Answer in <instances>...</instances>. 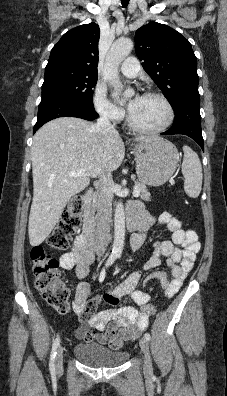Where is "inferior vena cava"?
Here are the masks:
<instances>
[{"label":"inferior vena cava","mask_w":227,"mask_h":396,"mask_svg":"<svg viewBox=\"0 0 227 396\" xmlns=\"http://www.w3.org/2000/svg\"><path fill=\"white\" fill-rule=\"evenodd\" d=\"M95 129L105 135L109 132H117L111 124L109 118L102 114L95 124ZM113 179L111 173L104 174L100 179V188L97 197V226L95 233V250L97 254L104 253L108 246L110 234V224L112 217V186Z\"/></svg>","instance_id":"602c4592"}]
</instances>
